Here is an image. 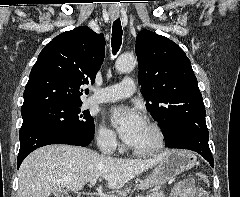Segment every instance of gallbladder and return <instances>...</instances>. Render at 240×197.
Listing matches in <instances>:
<instances>
[{"label":"gallbladder","instance_id":"obj_1","mask_svg":"<svg viewBox=\"0 0 240 197\" xmlns=\"http://www.w3.org/2000/svg\"><path fill=\"white\" fill-rule=\"evenodd\" d=\"M55 197H70L69 194L65 191H61V192H56L54 193Z\"/></svg>","mask_w":240,"mask_h":197}]
</instances>
